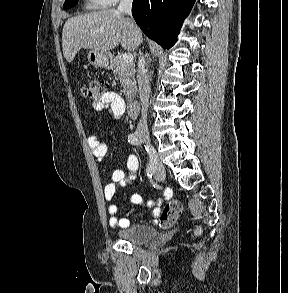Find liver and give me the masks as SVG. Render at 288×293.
Segmentation results:
<instances>
[{"label":"liver","instance_id":"6515ba94","mask_svg":"<svg viewBox=\"0 0 288 293\" xmlns=\"http://www.w3.org/2000/svg\"><path fill=\"white\" fill-rule=\"evenodd\" d=\"M141 42L139 29L136 31L131 19L116 9L71 17L62 32L63 55L68 62H72L82 48L109 53L121 44L123 49L134 51Z\"/></svg>","mask_w":288,"mask_h":293}]
</instances>
